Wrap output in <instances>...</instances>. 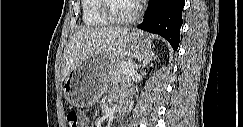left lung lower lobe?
Wrapping results in <instances>:
<instances>
[{"label":"left lung lower lobe","instance_id":"obj_1","mask_svg":"<svg viewBox=\"0 0 243 127\" xmlns=\"http://www.w3.org/2000/svg\"><path fill=\"white\" fill-rule=\"evenodd\" d=\"M184 4L185 0H150L144 20L138 28L161 35L176 51L179 46Z\"/></svg>","mask_w":243,"mask_h":127}]
</instances>
